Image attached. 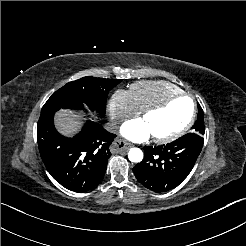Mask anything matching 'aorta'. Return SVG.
<instances>
[{"label": "aorta", "mask_w": 246, "mask_h": 246, "mask_svg": "<svg viewBox=\"0 0 246 246\" xmlns=\"http://www.w3.org/2000/svg\"><path fill=\"white\" fill-rule=\"evenodd\" d=\"M128 158L131 162L140 163L143 160V152L139 148H131L128 152Z\"/></svg>", "instance_id": "1"}]
</instances>
